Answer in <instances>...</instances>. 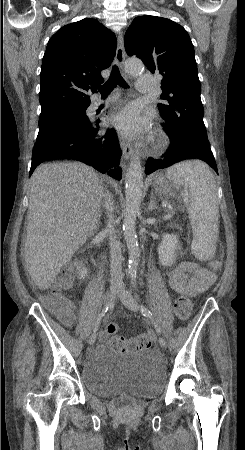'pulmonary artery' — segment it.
Listing matches in <instances>:
<instances>
[{
    "label": "pulmonary artery",
    "instance_id": "1",
    "mask_svg": "<svg viewBox=\"0 0 245 450\" xmlns=\"http://www.w3.org/2000/svg\"><path fill=\"white\" fill-rule=\"evenodd\" d=\"M138 89L137 92L142 95L154 93L156 86V78L152 75L142 74L137 79ZM110 99H106L104 102L108 103ZM98 103H101L99 100Z\"/></svg>",
    "mask_w": 245,
    "mask_h": 450
}]
</instances>
